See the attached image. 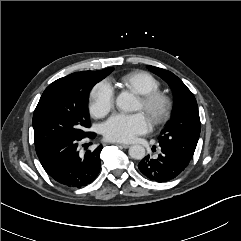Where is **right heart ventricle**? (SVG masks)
I'll return each instance as SVG.
<instances>
[{"mask_svg":"<svg viewBox=\"0 0 241 241\" xmlns=\"http://www.w3.org/2000/svg\"><path fill=\"white\" fill-rule=\"evenodd\" d=\"M120 84L127 90L137 94H147L160 89L159 81L145 71H133L123 75Z\"/></svg>","mask_w":241,"mask_h":241,"instance_id":"right-heart-ventricle-1","label":"right heart ventricle"}]
</instances>
